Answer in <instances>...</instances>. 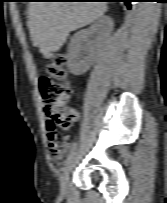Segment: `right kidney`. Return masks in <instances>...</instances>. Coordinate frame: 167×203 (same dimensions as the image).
I'll use <instances>...</instances> for the list:
<instances>
[{
  "mask_svg": "<svg viewBox=\"0 0 167 203\" xmlns=\"http://www.w3.org/2000/svg\"><path fill=\"white\" fill-rule=\"evenodd\" d=\"M112 30V19L109 16H102L89 29L81 30L74 35L68 50V68L72 74L86 73L97 58L100 43L94 42L85 49L88 37L93 33H100L106 39Z\"/></svg>",
  "mask_w": 167,
  "mask_h": 203,
  "instance_id": "1",
  "label": "right kidney"
}]
</instances>
